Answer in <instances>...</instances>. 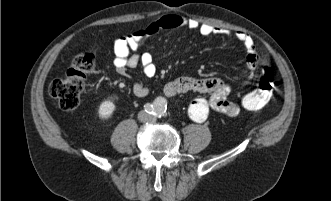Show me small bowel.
<instances>
[{
	"instance_id": "c3829d8e",
	"label": "small bowel",
	"mask_w": 331,
	"mask_h": 201,
	"mask_svg": "<svg viewBox=\"0 0 331 201\" xmlns=\"http://www.w3.org/2000/svg\"><path fill=\"white\" fill-rule=\"evenodd\" d=\"M180 27L196 30L202 36L222 35L234 37L240 41L247 53L245 63L249 70V75L244 81V84L250 82L253 78V72L264 63L258 57L252 37L243 31L232 33L221 27L200 23L180 15H166L144 28L115 39L113 43V65L116 71L121 75H125L129 69H134L141 65L145 75L153 77L157 69L152 55L149 52L139 54L138 50L147 39L160 31L173 30ZM189 91L210 95L209 98L197 97L189 104L188 115L195 122H204L211 111L223 113L228 116H236L240 113V103L228 99L231 91L230 85L219 78L195 79L183 75L167 83L163 88V92L167 97H174L177 94ZM132 92L137 97H145L148 95L149 89L141 82H134Z\"/></svg>"
}]
</instances>
